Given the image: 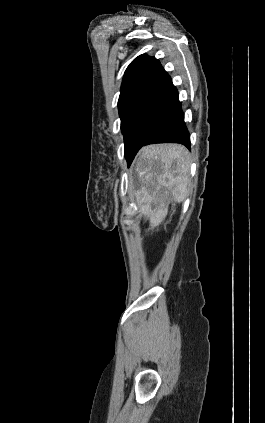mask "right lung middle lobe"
<instances>
[{
    "instance_id": "obj_1",
    "label": "right lung middle lobe",
    "mask_w": 265,
    "mask_h": 423,
    "mask_svg": "<svg viewBox=\"0 0 265 423\" xmlns=\"http://www.w3.org/2000/svg\"><path fill=\"white\" fill-rule=\"evenodd\" d=\"M146 96L147 95H134L118 101L119 115L121 118V130L123 134H125L135 113L146 99ZM125 157L127 159L126 153Z\"/></svg>"
}]
</instances>
